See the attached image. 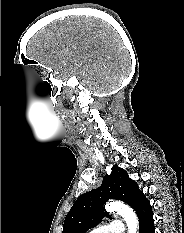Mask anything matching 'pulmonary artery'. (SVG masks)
<instances>
[{
	"label": "pulmonary artery",
	"mask_w": 184,
	"mask_h": 233,
	"mask_svg": "<svg viewBox=\"0 0 184 233\" xmlns=\"http://www.w3.org/2000/svg\"><path fill=\"white\" fill-rule=\"evenodd\" d=\"M124 225L120 221H112L103 226L91 230L89 233H123Z\"/></svg>",
	"instance_id": "e3ab8cb5"
}]
</instances>
